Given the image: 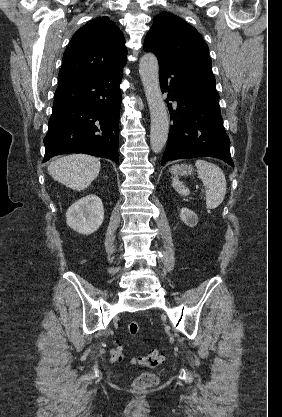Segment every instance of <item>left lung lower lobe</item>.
Returning <instances> with one entry per match:
<instances>
[{
  "label": "left lung lower lobe",
  "instance_id": "0a47b994",
  "mask_svg": "<svg viewBox=\"0 0 282 417\" xmlns=\"http://www.w3.org/2000/svg\"><path fill=\"white\" fill-rule=\"evenodd\" d=\"M169 77L171 85L167 88ZM159 79L162 92L168 89L166 102H177L176 110L168 104L173 124L161 165L170 160L208 156L233 166L212 69L159 63Z\"/></svg>",
  "mask_w": 282,
  "mask_h": 417
}]
</instances>
